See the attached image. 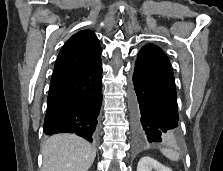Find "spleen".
Returning <instances> with one entry per match:
<instances>
[{
  "mask_svg": "<svg viewBox=\"0 0 223 171\" xmlns=\"http://www.w3.org/2000/svg\"><path fill=\"white\" fill-rule=\"evenodd\" d=\"M162 152V154L167 157L168 159H170L171 161H178L180 159V155L178 152H176L173 149H169V148H163L160 150Z\"/></svg>",
  "mask_w": 223,
  "mask_h": 171,
  "instance_id": "1",
  "label": "spleen"
}]
</instances>
